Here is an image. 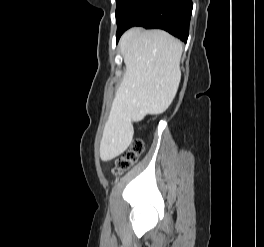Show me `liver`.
<instances>
[{"instance_id":"liver-1","label":"liver","mask_w":264,"mask_h":247,"mask_svg":"<svg viewBox=\"0 0 264 247\" xmlns=\"http://www.w3.org/2000/svg\"><path fill=\"white\" fill-rule=\"evenodd\" d=\"M182 43L162 30L134 27L120 39L126 66L100 142V158L110 161L132 143V122L165 111L181 79Z\"/></svg>"}]
</instances>
